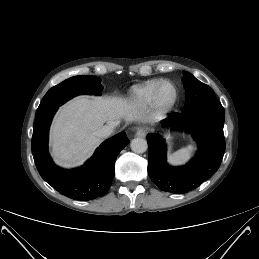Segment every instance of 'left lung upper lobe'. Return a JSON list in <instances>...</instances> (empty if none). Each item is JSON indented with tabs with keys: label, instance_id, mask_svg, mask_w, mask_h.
Here are the masks:
<instances>
[{
	"label": "left lung upper lobe",
	"instance_id": "1",
	"mask_svg": "<svg viewBox=\"0 0 259 259\" xmlns=\"http://www.w3.org/2000/svg\"><path fill=\"white\" fill-rule=\"evenodd\" d=\"M183 82L186 90V103L182 112H189L212 105H221L216 99L213 89L200 82L192 74L185 72Z\"/></svg>",
	"mask_w": 259,
	"mask_h": 259
}]
</instances>
